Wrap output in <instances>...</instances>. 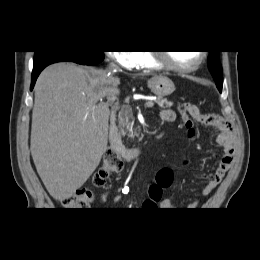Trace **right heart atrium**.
<instances>
[{"instance_id":"1","label":"right heart atrium","mask_w":260,"mask_h":260,"mask_svg":"<svg viewBox=\"0 0 260 260\" xmlns=\"http://www.w3.org/2000/svg\"><path fill=\"white\" fill-rule=\"evenodd\" d=\"M111 59L125 69H132L139 64L140 53L137 51H114L110 53Z\"/></svg>"}]
</instances>
